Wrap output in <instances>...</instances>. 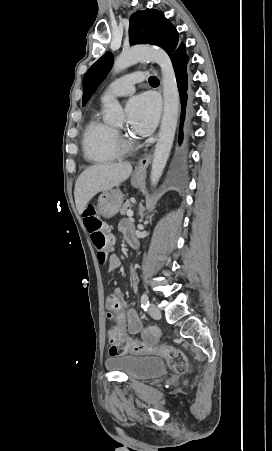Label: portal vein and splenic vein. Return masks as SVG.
<instances>
[{"mask_svg":"<svg viewBox=\"0 0 272 451\" xmlns=\"http://www.w3.org/2000/svg\"><path fill=\"white\" fill-rule=\"evenodd\" d=\"M126 214H127L128 218H132V216H133L132 210H127Z\"/></svg>","mask_w":272,"mask_h":451,"instance_id":"obj_1","label":"portal vein and splenic vein"}]
</instances>
